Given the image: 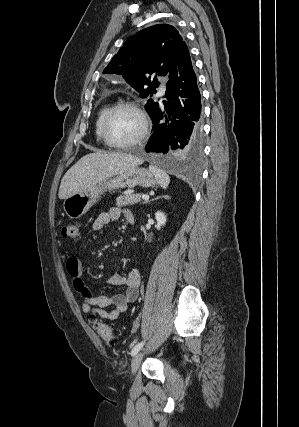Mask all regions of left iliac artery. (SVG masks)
Returning a JSON list of instances; mask_svg holds the SVG:
<instances>
[{
  "instance_id": "1",
  "label": "left iliac artery",
  "mask_w": 299,
  "mask_h": 427,
  "mask_svg": "<svg viewBox=\"0 0 299 427\" xmlns=\"http://www.w3.org/2000/svg\"><path fill=\"white\" fill-rule=\"evenodd\" d=\"M144 345V342L138 343L131 351V355L134 356Z\"/></svg>"
}]
</instances>
